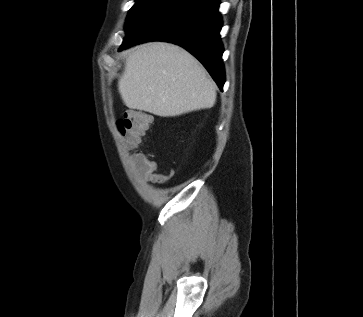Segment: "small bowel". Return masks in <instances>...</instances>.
<instances>
[{
	"label": "small bowel",
	"instance_id": "c3829d8e",
	"mask_svg": "<svg viewBox=\"0 0 363 317\" xmlns=\"http://www.w3.org/2000/svg\"><path fill=\"white\" fill-rule=\"evenodd\" d=\"M134 165L143 172L144 180L150 183L165 184L168 176L157 172L156 164L146 155L139 154L134 158Z\"/></svg>",
	"mask_w": 363,
	"mask_h": 317
}]
</instances>
